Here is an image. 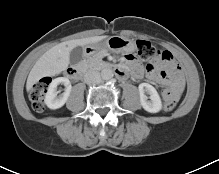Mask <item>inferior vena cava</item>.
Returning <instances> with one entry per match:
<instances>
[{"label":"inferior vena cava","mask_w":219,"mask_h":174,"mask_svg":"<svg viewBox=\"0 0 219 174\" xmlns=\"http://www.w3.org/2000/svg\"><path fill=\"white\" fill-rule=\"evenodd\" d=\"M84 81L87 84H95L101 81V75L98 71L89 70L84 75Z\"/></svg>","instance_id":"602c4592"}]
</instances>
